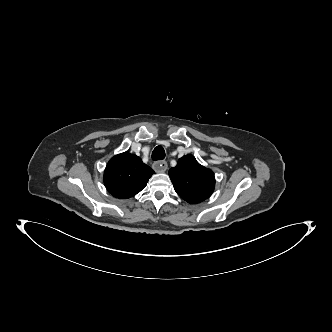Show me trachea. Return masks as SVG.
Segmentation results:
<instances>
[{
    "label": "trachea",
    "mask_w": 332,
    "mask_h": 332,
    "mask_svg": "<svg viewBox=\"0 0 332 332\" xmlns=\"http://www.w3.org/2000/svg\"><path fill=\"white\" fill-rule=\"evenodd\" d=\"M165 158V150L162 146H157L152 152V159L154 161L162 160Z\"/></svg>",
    "instance_id": "1"
}]
</instances>
